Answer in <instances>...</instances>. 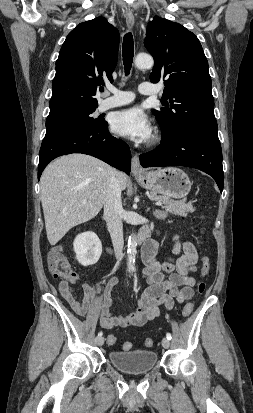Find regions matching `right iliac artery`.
<instances>
[{
    "label": "right iliac artery",
    "instance_id": "right-iliac-artery-1",
    "mask_svg": "<svg viewBox=\"0 0 253 413\" xmlns=\"http://www.w3.org/2000/svg\"><path fill=\"white\" fill-rule=\"evenodd\" d=\"M98 336H102V332H99V333H98Z\"/></svg>",
    "mask_w": 253,
    "mask_h": 413
}]
</instances>
